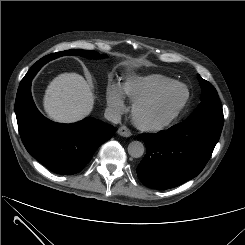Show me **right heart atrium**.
Listing matches in <instances>:
<instances>
[{
    "instance_id": "obj_1",
    "label": "right heart atrium",
    "mask_w": 245,
    "mask_h": 245,
    "mask_svg": "<svg viewBox=\"0 0 245 245\" xmlns=\"http://www.w3.org/2000/svg\"><path fill=\"white\" fill-rule=\"evenodd\" d=\"M106 101L109 110L114 115L122 114L125 110L124 95L121 86L118 84H108L106 87Z\"/></svg>"
}]
</instances>
